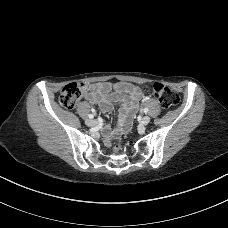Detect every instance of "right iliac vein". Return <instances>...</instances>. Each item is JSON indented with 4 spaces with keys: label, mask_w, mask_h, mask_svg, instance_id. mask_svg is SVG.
<instances>
[{
    "label": "right iliac vein",
    "mask_w": 228,
    "mask_h": 228,
    "mask_svg": "<svg viewBox=\"0 0 228 228\" xmlns=\"http://www.w3.org/2000/svg\"><path fill=\"white\" fill-rule=\"evenodd\" d=\"M85 123L88 126H94L97 122L94 119H87Z\"/></svg>",
    "instance_id": "1"
}]
</instances>
